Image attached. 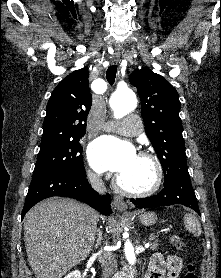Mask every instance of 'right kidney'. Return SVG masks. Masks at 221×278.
Segmentation results:
<instances>
[{"label": "right kidney", "mask_w": 221, "mask_h": 278, "mask_svg": "<svg viewBox=\"0 0 221 278\" xmlns=\"http://www.w3.org/2000/svg\"><path fill=\"white\" fill-rule=\"evenodd\" d=\"M64 278H81V273L79 270H75L70 272L67 276H65Z\"/></svg>", "instance_id": "1"}]
</instances>
